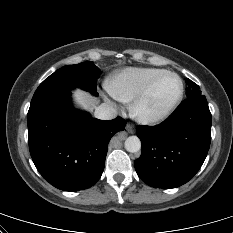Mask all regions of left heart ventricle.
<instances>
[{"label":"left heart ventricle","instance_id":"1","mask_svg":"<svg viewBox=\"0 0 233 233\" xmlns=\"http://www.w3.org/2000/svg\"><path fill=\"white\" fill-rule=\"evenodd\" d=\"M178 91L179 85L175 77L170 75L162 77L143 103L142 112L147 115L159 113L174 100Z\"/></svg>","mask_w":233,"mask_h":233}]
</instances>
